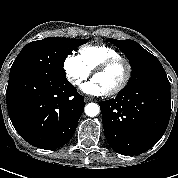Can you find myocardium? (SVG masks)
Returning a JSON list of instances; mask_svg holds the SVG:
<instances>
[{"label": "myocardium", "mask_w": 178, "mask_h": 178, "mask_svg": "<svg viewBox=\"0 0 178 178\" xmlns=\"http://www.w3.org/2000/svg\"><path fill=\"white\" fill-rule=\"evenodd\" d=\"M119 62L124 63L125 67H126V73H125L124 79L116 88H114L111 91L106 92L107 96L117 95L127 87V85L130 82L131 76H132V65H131V62L127 58L122 57V56L112 57V58L107 59L103 63H101L93 71L92 78H94L96 75H99V74L105 72L111 66H113V65H115V64H117Z\"/></svg>", "instance_id": "f54148a6"}]
</instances>
